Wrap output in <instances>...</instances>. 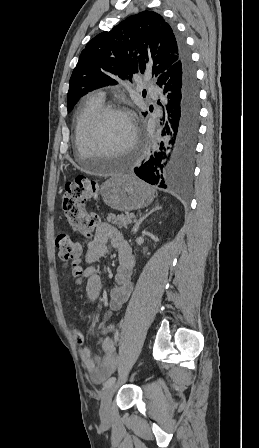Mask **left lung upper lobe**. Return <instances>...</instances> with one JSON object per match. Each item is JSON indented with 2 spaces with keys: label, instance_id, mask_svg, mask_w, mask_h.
I'll use <instances>...</instances> for the list:
<instances>
[{
  "label": "left lung upper lobe",
  "instance_id": "5c2ea615",
  "mask_svg": "<svg viewBox=\"0 0 259 448\" xmlns=\"http://www.w3.org/2000/svg\"><path fill=\"white\" fill-rule=\"evenodd\" d=\"M181 51L173 27L160 14L143 11L128 17L95 36L82 51L70 78L68 112L89 91L118 84L114 77L131 79L132 73L143 74L151 65L155 76L161 75Z\"/></svg>",
  "mask_w": 259,
  "mask_h": 448
}]
</instances>
